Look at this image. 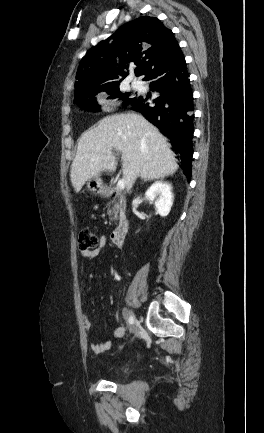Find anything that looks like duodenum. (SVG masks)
Returning <instances> with one entry per match:
<instances>
[{
    "label": "duodenum",
    "mask_w": 264,
    "mask_h": 433,
    "mask_svg": "<svg viewBox=\"0 0 264 433\" xmlns=\"http://www.w3.org/2000/svg\"><path fill=\"white\" fill-rule=\"evenodd\" d=\"M129 220L124 218L111 233V240L115 245H121L128 230Z\"/></svg>",
    "instance_id": "duodenum-1"
}]
</instances>
